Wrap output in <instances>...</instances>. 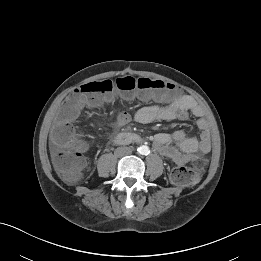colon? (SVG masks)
<instances>
[{
  "label": "colon",
  "instance_id": "obj_1",
  "mask_svg": "<svg viewBox=\"0 0 261 261\" xmlns=\"http://www.w3.org/2000/svg\"><path fill=\"white\" fill-rule=\"evenodd\" d=\"M119 90L127 99L136 97L141 101H167L177 97L178 88L170 83L151 78L121 77L115 80L101 79L80 85L59 110L60 121L52 131L55 143L60 147L54 158V164L61 176L69 181H76L84 166L83 153L86 142L69 121L74 118L82 104L98 105L99 95L111 94ZM207 159L203 156L195 160L194 167L178 164L170 172L171 181L180 186L195 183L204 169Z\"/></svg>",
  "mask_w": 261,
  "mask_h": 261
}]
</instances>
